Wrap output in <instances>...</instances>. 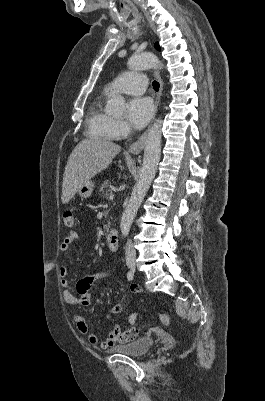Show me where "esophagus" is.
Masks as SVG:
<instances>
[{
  "label": "esophagus",
  "mask_w": 265,
  "mask_h": 401,
  "mask_svg": "<svg viewBox=\"0 0 265 401\" xmlns=\"http://www.w3.org/2000/svg\"><path fill=\"white\" fill-rule=\"evenodd\" d=\"M154 76L159 83V91L157 93V96H156V99L154 102V109H155V113H156L159 102H160L162 90H163V81H162L161 75L158 71H154ZM146 137H147V131L145 133H143V135H141L137 141H134V143H132V145L129 146V151L131 153H133L134 155H138L139 153H141V151L144 148Z\"/></svg>",
  "instance_id": "34e87169"
}]
</instances>
